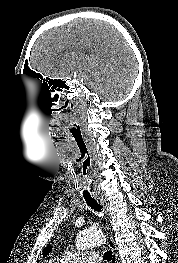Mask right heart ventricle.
Masks as SVG:
<instances>
[{"label":"right heart ventricle","instance_id":"1","mask_svg":"<svg viewBox=\"0 0 178 263\" xmlns=\"http://www.w3.org/2000/svg\"><path fill=\"white\" fill-rule=\"evenodd\" d=\"M49 263H61L59 260H51Z\"/></svg>","mask_w":178,"mask_h":263}]
</instances>
